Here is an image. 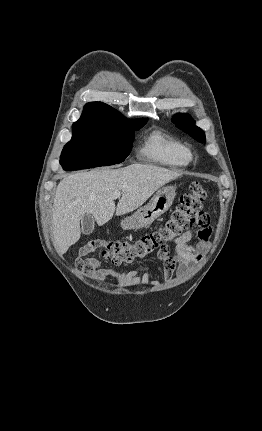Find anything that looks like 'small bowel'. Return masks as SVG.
Segmentation results:
<instances>
[{
  "label": "small bowel",
  "mask_w": 262,
  "mask_h": 431,
  "mask_svg": "<svg viewBox=\"0 0 262 431\" xmlns=\"http://www.w3.org/2000/svg\"><path fill=\"white\" fill-rule=\"evenodd\" d=\"M211 226L209 221L206 223H198L197 238L198 243L193 244V234L191 230H187L174 241L176 253L174 256H159V261L164 266V282L170 283L174 275L178 273L180 276H185L195 265L203 258V253L209 245L211 237ZM89 264L92 270L88 272V276L97 281L111 278L115 280L122 288L132 286H157L158 283L152 281V276L149 268H138L136 270L121 272L110 267H104L101 262L96 259H89Z\"/></svg>",
  "instance_id": "c3829d8e"
}]
</instances>
